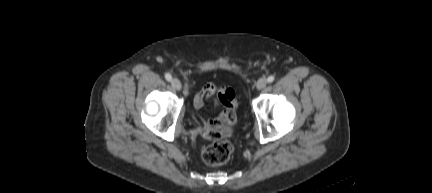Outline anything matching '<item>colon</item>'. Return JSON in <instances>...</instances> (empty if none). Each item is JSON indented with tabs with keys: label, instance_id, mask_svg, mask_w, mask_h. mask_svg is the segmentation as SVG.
<instances>
[{
	"label": "colon",
	"instance_id": "obj_1",
	"mask_svg": "<svg viewBox=\"0 0 432 193\" xmlns=\"http://www.w3.org/2000/svg\"><path fill=\"white\" fill-rule=\"evenodd\" d=\"M220 104L227 110L234 111L238 102L235 92L228 87H220L218 90ZM233 146L226 139H218L207 145L202 151L203 161L210 166H218L226 163L232 154Z\"/></svg>",
	"mask_w": 432,
	"mask_h": 193
}]
</instances>
